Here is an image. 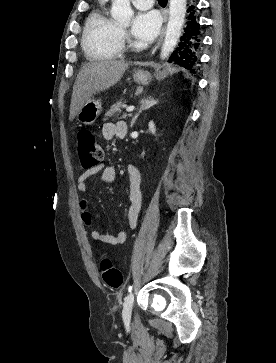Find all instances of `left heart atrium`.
Instances as JSON below:
<instances>
[{
	"label": "left heart atrium",
	"mask_w": 276,
	"mask_h": 363,
	"mask_svg": "<svg viewBox=\"0 0 276 363\" xmlns=\"http://www.w3.org/2000/svg\"><path fill=\"white\" fill-rule=\"evenodd\" d=\"M161 28V16L157 11L138 12L133 20L132 33L142 41L153 40Z\"/></svg>",
	"instance_id": "39dd6f15"
}]
</instances>
